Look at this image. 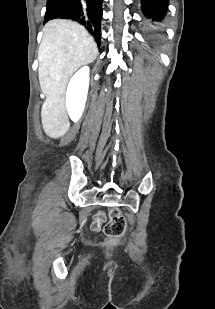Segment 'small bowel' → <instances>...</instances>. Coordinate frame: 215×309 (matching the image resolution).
<instances>
[{"label":"small bowel","mask_w":215,"mask_h":309,"mask_svg":"<svg viewBox=\"0 0 215 309\" xmlns=\"http://www.w3.org/2000/svg\"><path fill=\"white\" fill-rule=\"evenodd\" d=\"M104 220H105V215L103 213H99L96 216V221L94 223H96L97 225V230L100 228V225Z\"/></svg>","instance_id":"obj_1"}]
</instances>
